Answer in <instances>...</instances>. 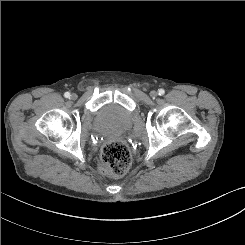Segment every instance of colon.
Wrapping results in <instances>:
<instances>
[{"label": "colon", "instance_id": "1", "mask_svg": "<svg viewBox=\"0 0 245 245\" xmlns=\"http://www.w3.org/2000/svg\"><path fill=\"white\" fill-rule=\"evenodd\" d=\"M131 165V155L127 146L120 140H112L101 151L100 171L112 177H121Z\"/></svg>", "mask_w": 245, "mask_h": 245}]
</instances>
